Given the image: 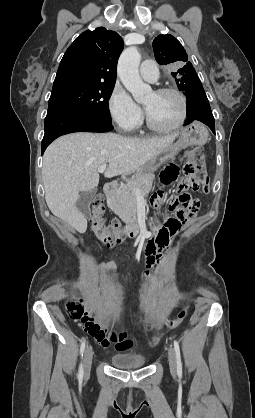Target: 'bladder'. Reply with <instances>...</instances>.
Here are the masks:
<instances>
[{
  "instance_id": "1",
  "label": "bladder",
  "mask_w": 255,
  "mask_h": 418,
  "mask_svg": "<svg viewBox=\"0 0 255 418\" xmlns=\"http://www.w3.org/2000/svg\"><path fill=\"white\" fill-rule=\"evenodd\" d=\"M110 362L119 369H137L146 364L147 358L142 354H116L110 358Z\"/></svg>"
}]
</instances>
